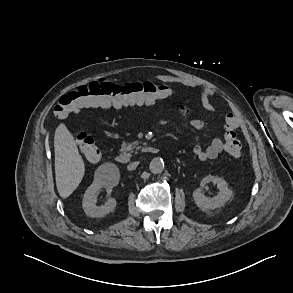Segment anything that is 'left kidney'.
Segmentation results:
<instances>
[{
  "label": "left kidney",
  "mask_w": 293,
  "mask_h": 293,
  "mask_svg": "<svg viewBox=\"0 0 293 293\" xmlns=\"http://www.w3.org/2000/svg\"><path fill=\"white\" fill-rule=\"evenodd\" d=\"M210 182L216 184L218 189L220 190L216 196L212 198L207 197L202 193V190L200 188L196 189L193 192L194 202L201 210L216 209L222 207L232 197V191L223 178L208 175L202 179L200 185L203 188L206 184Z\"/></svg>",
  "instance_id": "left-kidney-1"
}]
</instances>
